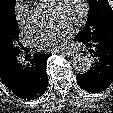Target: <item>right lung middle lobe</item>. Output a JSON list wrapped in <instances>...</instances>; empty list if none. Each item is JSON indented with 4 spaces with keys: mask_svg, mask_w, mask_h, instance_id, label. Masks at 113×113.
I'll use <instances>...</instances> for the list:
<instances>
[{
    "mask_svg": "<svg viewBox=\"0 0 113 113\" xmlns=\"http://www.w3.org/2000/svg\"><path fill=\"white\" fill-rule=\"evenodd\" d=\"M15 0L1 3L0 12V58L8 65L24 49L18 40L19 28L14 12Z\"/></svg>",
    "mask_w": 113,
    "mask_h": 113,
    "instance_id": "obj_1",
    "label": "right lung middle lobe"
}]
</instances>
